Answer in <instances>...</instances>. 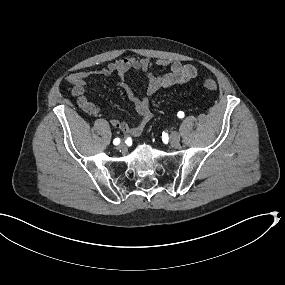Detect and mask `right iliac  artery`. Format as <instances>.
<instances>
[{
  "mask_svg": "<svg viewBox=\"0 0 285 285\" xmlns=\"http://www.w3.org/2000/svg\"><path fill=\"white\" fill-rule=\"evenodd\" d=\"M120 143V139L119 138H115L113 141L114 145H118Z\"/></svg>",
  "mask_w": 285,
  "mask_h": 285,
  "instance_id": "right-iliac-artery-1",
  "label": "right iliac artery"
}]
</instances>
